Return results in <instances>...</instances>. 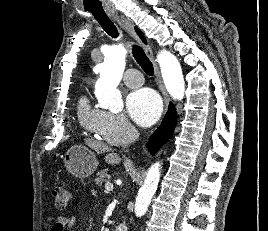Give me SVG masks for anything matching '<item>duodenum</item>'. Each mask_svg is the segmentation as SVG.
I'll return each instance as SVG.
<instances>
[{
  "label": "duodenum",
  "instance_id": "410a0bca",
  "mask_svg": "<svg viewBox=\"0 0 268 231\" xmlns=\"http://www.w3.org/2000/svg\"><path fill=\"white\" fill-rule=\"evenodd\" d=\"M127 224L126 223H120L117 227H116V229H115V231H127Z\"/></svg>",
  "mask_w": 268,
  "mask_h": 231
}]
</instances>
